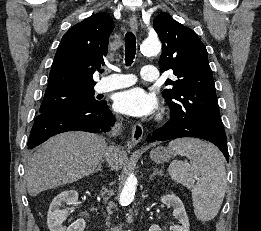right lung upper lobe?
I'll return each mask as SVG.
<instances>
[{"mask_svg":"<svg viewBox=\"0 0 261 231\" xmlns=\"http://www.w3.org/2000/svg\"><path fill=\"white\" fill-rule=\"evenodd\" d=\"M114 23L106 13L94 14L62 37L51 67L48 88H90L93 74L105 64Z\"/></svg>","mask_w":261,"mask_h":231,"instance_id":"1","label":"right lung upper lobe"}]
</instances>
